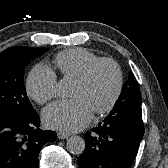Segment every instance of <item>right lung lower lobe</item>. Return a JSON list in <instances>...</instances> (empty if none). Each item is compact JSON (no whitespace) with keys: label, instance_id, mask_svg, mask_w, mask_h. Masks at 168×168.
Segmentation results:
<instances>
[{"label":"right lung lower lobe","instance_id":"right-lung-lower-lobe-1","mask_svg":"<svg viewBox=\"0 0 168 168\" xmlns=\"http://www.w3.org/2000/svg\"><path fill=\"white\" fill-rule=\"evenodd\" d=\"M39 125L37 113L0 114V168H39L42 146L57 139L54 131H43Z\"/></svg>","mask_w":168,"mask_h":168}]
</instances>
